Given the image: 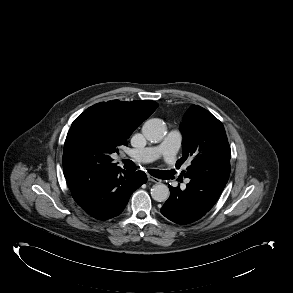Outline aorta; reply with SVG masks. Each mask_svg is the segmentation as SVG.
Segmentation results:
<instances>
[{"label": "aorta", "instance_id": "obj_1", "mask_svg": "<svg viewBox=\"0 0 293 293\" xmlns=\"http://www.w3.org/2000/svg\"><path fill=\"white\" fill-rule=\"evenodd\" d=\"M142 133L147 140L157 143L164 138L166 125L161 119L153 118L144 123ZM169 195V188L163 183L156 184L151 189V196L157 202H165L169 198Z\"/></svg>", "mask_w": 293, "mask_h": 293}]
</instances>
